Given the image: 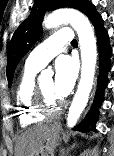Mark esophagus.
Here are the masks:
<instances>
[{"label":"esophagus","mask_w":114,"mask_h":156,"mask_svg":"<svg viewBox=\"0 0 114 156\" xmlns=\"http://www.w3.org/2000/svg\"><path fill=\"white\" fill-rule=\"evenodd\" d=\"M59 126H60V124H57V125H56V127H59Z\"/></svg>","instance_id":"1"}]
</instances>
